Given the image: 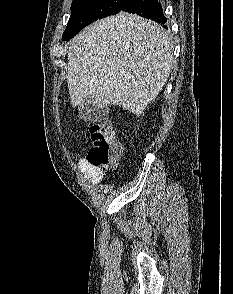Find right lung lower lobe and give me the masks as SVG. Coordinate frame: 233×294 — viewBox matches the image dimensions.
<instances>
[{"label":"right lung lower lobe","mask_w":233,"mask_h":294,"mask_svg":"<svg viewBox=\"0 0 233 294\" xmlns=\"http://www.w3.org/2000/svg\"><path fill=\"white\" fill-rule=\"evenodd\" d=\"M121 11L138 14L161 24H165L167 21L157 0H128Z\"/></svg>","instance_id":"1"}]
</instances>
